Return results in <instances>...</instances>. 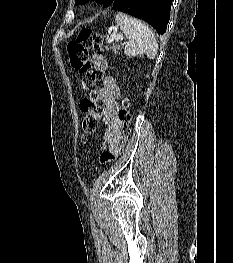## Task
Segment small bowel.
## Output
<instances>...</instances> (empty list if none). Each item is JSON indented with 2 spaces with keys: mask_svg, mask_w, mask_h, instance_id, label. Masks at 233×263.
<instances>
[{
  "mask_svg": "<svg viewBox=\"0 0 233 263\" xmlns=\"http://www.w3.org/2000/svg\"><path fill=\"white\" fill-rule=\"evenodd\" d=\"M93 63L98 70L105 71L108 63L102 54L93 56ZM89 86L96 96L103 102V117L107 128L103 135V148L108 152L116 151L123 142L122 125L118 118L119 103L121 96L117 81L112 76H105L101 86H96L94 82Z\"/></svg>",
  "mask_w": 233,
  "mask_h": 263,
  "instance_id": "c3829d8e",
  "label": "small bowel"
}]
</instances>
